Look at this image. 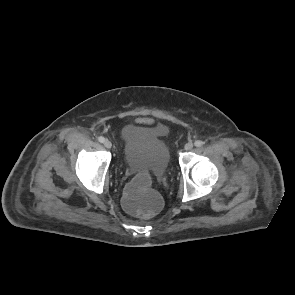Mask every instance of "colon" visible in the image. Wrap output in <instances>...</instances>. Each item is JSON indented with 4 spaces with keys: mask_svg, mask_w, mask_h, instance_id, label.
Segmentation results:
<instances>
[{
    "mask_svg": "<svg viewBox=\"0 0 295 295\" xmlns=\"http://www.w3.org/2000/svg\"><path fill=\"white\" fill-rule=\"evenodd\" d=\"M121 205L135 217H151L162 204L160 195L153 190L152 182L146 176H135L121 194Z\"/></svg>",
    "mask_w": 295,
    "mask_h": 295,
    "instance_id": "obj_1",
    "label": "colon"
}]
</instances>
